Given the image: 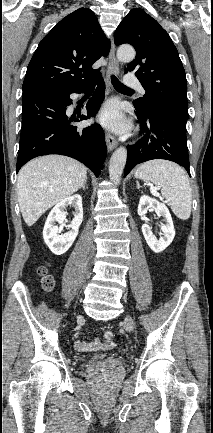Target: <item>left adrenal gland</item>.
<instances>
[{"instance_id":"a2214340","label":"left adrenal gland","mask_w":213,"mask_h":433,"mask_svg":"<svg viewBox=\"0 0 213 433\" xmlns=\"http://www.w3.org/2000/svg\"><path fill=\"white\" fill-rule=\"evenodd\" d=\"M140 188H141V186H140L139 182L137 181V189H140Z\"/></svg>"}]
</instances>
